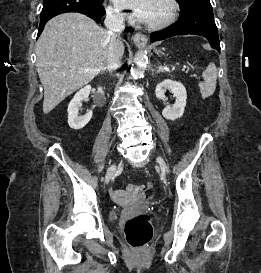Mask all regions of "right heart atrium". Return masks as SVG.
Masks as SVG:
<instances>
[{
    "mask_svg": "<svg viewBox=\"0 0 261 273\" xmlns=\"http://www.w3.org/2000/svg\"><path fill=\"white\" fill-rule=\"evenodd\" d=\"M107 14H108L109 18L112 20H122L123 19L122 13L117 8H114L111 6L108 7Z\"/></svg>",
    "mask_w": 261,
    "mask_h": 273,
    "instance_id": "1",
    "label": "right heart atrium"
}]
</instances>
